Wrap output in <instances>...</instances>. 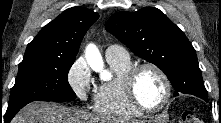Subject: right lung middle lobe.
Masks as SVG:
<instances>
[{
	"label": "right lung middle lobe",
	"mask_w": 221,
	"mask_h": 123,
	"mask_svg": "<svg viewBox=\"0 0 221 123\" xmlns=\"http://www.w3.org/2000/svg\"><path fill=\"white\" fill-rule=\"evenodd\" d=\"M74 61L75 57L24 56L11 89L6 115H15L26 104L36 100L75 99L76 94L67 80Z\"/></svg>",
	"instance_id": "obj_1"
}]
</instances>
